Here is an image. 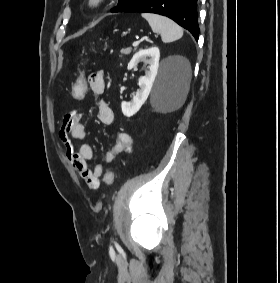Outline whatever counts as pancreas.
Returning a JSON list of instances; mask_svg holds the SVG:
<instances>
[{
  "label": "pancreas",
  "mask_w": 280,
  "mask_h": 283,
  "mask_svg": "<svg viewBox=\"0 0 280 283\" xmlns=\"http://www.w3.org/2000/svg\"><path fill=\"white\" fill-rule=\"evenodd\" d=\"M131 47L125 48L121 50V55H129L131 53Z\"/></svg>",
  "instance_id": "obj_1"
}]
</instances>
